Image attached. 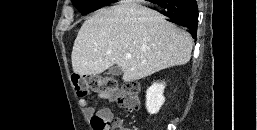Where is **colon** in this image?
I'll return each mask as SVG.
<instances>
[{"mask_svg":"<svg viewBox=\"0 0 257 130\" xmlns=\"http://www.w3.org/2000/svg\"><path fill=\"white\" fill-rule=\"evenodd\" d=\"M72 82L79 97H85L89 92L107 96L109 99H115L129 115L140 108V87L136 81L127 82L118 88L112 77L75 74L72 76ZM91 124L94 130H131L125 128L120 119L99 113L92 115Z\"/></svg>","mask_w":257,"mask_h":130,"instance_id":"1","label":"colon"}]
</instances>
